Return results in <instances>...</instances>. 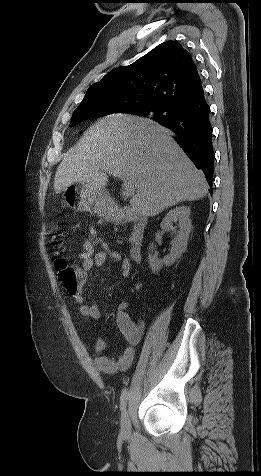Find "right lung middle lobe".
<instances>
[{
  "mask_svg": "<svg viewBox=\"0 0 261 476\" xmlns=\"http://www.w3.org/2000/svg\"><path fill=\"white\" fill-rule=\"evenodd\" d=\"M176 111L175 108L167 107L164 105H149L140 107L132 112L125 109L120 105H108V104H88L77 107L72 115L70 126L75 125L87 118L94 116H101L113 113H131L140 116H144L155 121H160L164 118L172 116Z\"/></svg>",
  "mask_w": 261,
  "mask_h": 476,
  "instance_id": "obj_1",
  "label": "right lung middle lobe"
}]
</instances>
